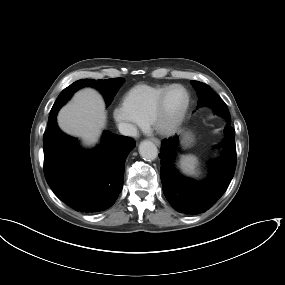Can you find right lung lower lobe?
<instances>
[{"instance_id":"98d812e1","label":"right lung lower lobe","mask_w":285,"mask_h":285,"mask_svg":"<svg viewBox=\"0 0 285 285\" xmlns=\"http://www.w3.org/2000/svg\"><path fill=\"white\" fill-rule=\"evenodd\" d=\"M43 145L44 174L55 195L76 211L94 213L115 203L123 188L126 158L136 143L104 132L99 146L84 150L58 128L55 116Z\"/></svg>"}]
</instances>
